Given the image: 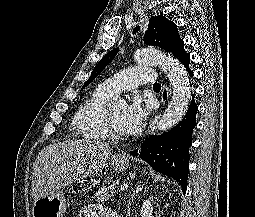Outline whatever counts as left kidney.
I'll list each match as a JSON object with an SVG mask.
<instances>
[{
	"label": "left kidney",
	"instance_id": "1",
	"mask_svg": "<svg viewBox=\"0 0 255 217\" xmlns=\"http://www.w3.org/2000/svg\"><path fill=\"white\" fill-rule=\"evenodd\" d=\"M152 212H153V207L150 200L149 199L145 200L143 202V206L140 211L141 217H153Z\"/></svg>",
	"mask_w": 255,
	"mask_h": 217
}]
</instances>
